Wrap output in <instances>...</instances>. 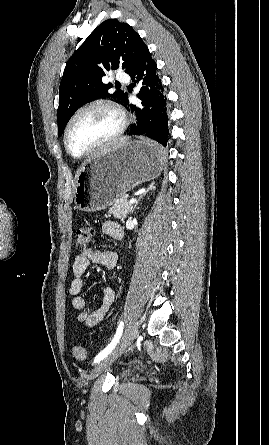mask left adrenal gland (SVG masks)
<instances>
[{
  "mask_svg": "<svg viewBox=\"0 0 269 445\" xmlns=\"http://www.w3.org/2000/svg\"><path fill=\"white\" fill-rule=\"evenodd\" d=\"M154 182H152L150 185H149V187L147 188V190L138 198V200L136 201V203H135V205H134V207H133V209H132V212L134 211V209L137 207V205H138V203H139V201L141 200V198H143V196H145L150 190H155V186H154Z\"/></svg>",
  "mask_w": 269,
  "mask_h": 445,
  "instance_id": "a2214340",
  "label": "left adrenal gland"
}]
</instances>
